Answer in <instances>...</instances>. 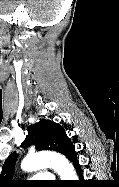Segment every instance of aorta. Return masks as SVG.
<instances>
[{"instance_id":"aorta-1","label":"aorta","mask_w":119,"mask_h":187,"mask_svg":"<svg viewBox=\"0 0 119 187\" xmlns=\"http://www.w3.org/2000/svg\"><path fill=\"white\" fill-rule=\"evenodd\" d=\"M48 166L52 167L60 175L61 180L78 179L73 165L65 156L56 152H39L27 155L21 163V168L27 172Z\"/></svg>"}]
</instances>
